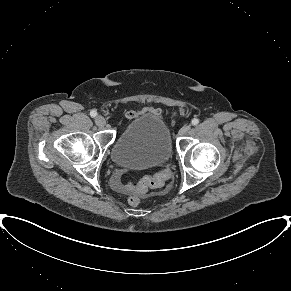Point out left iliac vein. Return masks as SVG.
<instances>
[{
	"label": "left iliac vein",
	"mask_w": 291,
	"mask_h": 291,
	"mask_svg": "<svg viewBox=\"0 0 291 291\" xmlns=\"http://www.w3.org/2000/svg\"><path fill=\"white\" fill-rule=\"evenodd\" d=\"M190 125H184L180 130H179V135L184 136L189 130H190Z\"/></svg>",
	"instance_id": "1"
}]
</instances>
